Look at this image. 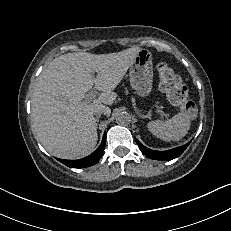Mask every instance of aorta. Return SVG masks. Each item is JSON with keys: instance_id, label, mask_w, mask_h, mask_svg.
Wrapping results in <instances>:
<instances>
[{"instance_id": "1", "label": "aorta", "mask_w": 231, "mask_h": 231, "mask_svg": "<svg viewBox=\"0 0 231 231\" xmlns=\"http://www.w3.org/2000/svg\"><path fill=\"white\" fill-rule=\"evenodd\" d=\"M115 120H116L117 124L126 126V125L130 124V122H131V116H130V114L128 112L121 111V112H118L116 114Z\"/></svg>"}]
</instances>
